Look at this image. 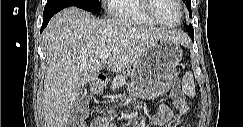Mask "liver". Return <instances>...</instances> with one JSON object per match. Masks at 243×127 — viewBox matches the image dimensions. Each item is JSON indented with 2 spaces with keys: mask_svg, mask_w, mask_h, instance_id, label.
<instances>
[{
  "mask_svg": "<svg viewBox=\"0 0 243 127\" xmlns=\"http://www.w3.org/2000/svg\"><path fill=\"white\" fill-rule=\"evenodd\" d=\"M158 40L189 43L182 32L146 29L124 19H97L75 7L58 12L44 31L48 66L42 107L46 127H67L81 87L105 68L102 52L110 51L107 65L120 72Z\"/></svg>",
  "mask_w": 243,
  "mask_h": 127,
  "instance_id": "6515ba94",
  "label": "liver"
}]
</instances>
